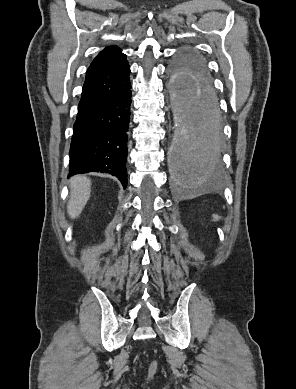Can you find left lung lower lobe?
<instances>
[{"mask_svg":"<svg viewBox=\"0 0 296 389\" xmlns=\"http://www.w3.org/2000/svg\"><path fill=\"white\" fill-rule=\"evenodd\" d=\"M196 79L195 89H181L182 96L188 98L193 106L194 127L186 142H181L178 159V168L189 179L213 174L220 158L221 125L213 85L211 80L203 76H196Z\"/></svg>","mask_w":296,"mask_h":389,"instance_id":"1","label":"left lung lower lobe"}]
</instances>
